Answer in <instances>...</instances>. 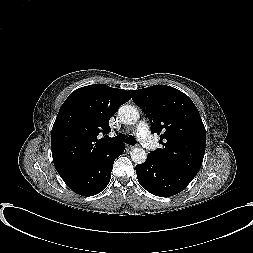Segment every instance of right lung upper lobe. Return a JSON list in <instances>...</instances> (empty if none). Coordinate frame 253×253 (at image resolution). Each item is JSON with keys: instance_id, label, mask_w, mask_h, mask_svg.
<instances>
[{"instance_id": "obj_1", "label": "right lung upper lobe", "mask_w": 253, "mask_h": 253, "mask_svg": "<svg viewBox=\"0 0 253 253\" xmlns=\"http://www.w3.org/2000/svg\"><path fill=\"white\" fill-rule=\"evenodd\" d=\"M131 99L130 91L103 84L73 91L62 104L51 132L52 157L61 177L80 172L117 144L98 139L109 119Z\"/></svg>"}]
</instances>
